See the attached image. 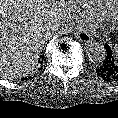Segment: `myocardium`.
I'll use <instances>...</instances> for the list:
<instances>
[{
  "label": "myocardium",
  "mask_w": 118,
  "mask_h": 118,
  "mask_svg": "<svg viewBox=\"0 0 118 118\" xmlns=\"http://www.w3.org/2000/svg\"><path fill=\"white\" fill-rule=\"evenodd\" d=\"M116 21L118 23V1H117V4H116Z\"/></svg>",
  "instance_id": "1"
}]
</instances>
